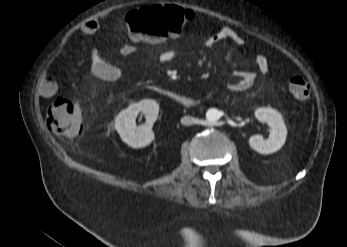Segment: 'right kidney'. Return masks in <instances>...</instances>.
<instances>
[{
  "mask_svg": "<svg viewBox=\"0 0 347 247\" xmlns=\"http://www.w3.org/2000/svg\"><path fill=\"white\" fill-rule=\"evenodd\" d=\"M142 112L146 116L144 125L136 126V117ZM159 105L155 100L146 99L131 104L122 110L115 119V129L123 142L133 148H141L150 144L154 139L152 126L158 118Z\"/></svg>",
  "mask_w": 347,
  "mask_h": 247,
  "instance_id": "1",
  "label": "right kidney"
}]
</instances>
